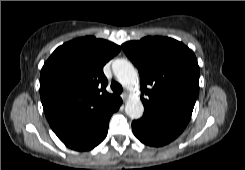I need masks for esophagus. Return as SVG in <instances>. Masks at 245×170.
<instances>
[{
	"instance_id": "1",
	"label": "esophagus",
	"mask_w": 245,
	"mask_h": 170,
	"mask_svg": "<svg viewBox=\"0 0 245 170\" xmlns=\"http://www.w3.org/2000/svg\"><path fill=\"white\" fill-rule=\"evenodd\" d=\"M127 96H128V93H127V92H123V93L121 94V97H122V99H123L124 101L127 99Z\"/></svg>"
}]
</instances>
